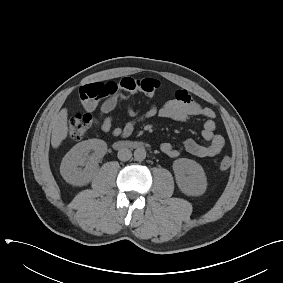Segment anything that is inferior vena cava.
<instances>
[{
	"mask_svg": "<svg viewBox=\"0 0 283 283\" xmlns=\"http://www.w3.org/2000/svg\"><path fill=\"white\" fill-rule=\"evenodd\" d=\"M132 157V152L127 148H121L118 151V159L121 161H128Z\"/></svg>",
	"mask_w": 283,
	"mask_h": 283,
	"instance_id": "obj_1",
	"label": "inferior vena cava"
}]
</instances>
